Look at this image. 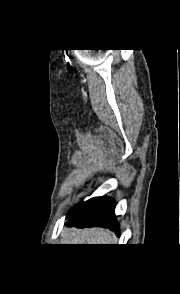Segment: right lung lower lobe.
<instances>
[{
    "label": "right lung lower lobe",
    "instance_id": "obj_1",
    "mask_svg": "<svg viewBox=\"0 0 180 294\" xmlns=\"http://www.w3.org/2000/svg\"><path fill=\"white\" fill-rule=\"evenodd\" d=\"M68 226L79 228L100 226L115 230L119 227L114 214V201L111 198L97 197L74 207L68 214Z\"/></svg>",
    "mask_w": 180,
    "mask_h": 294
}]
</instances>
